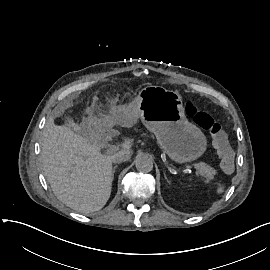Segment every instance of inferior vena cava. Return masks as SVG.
<instances>
[{"label":"inferior vena cava","instance_id":"inferior-vena-cava-1","mask_svg":"<svg viewBox=\"0 0 270 270\" xmlns=\"http://www.w3.org/2000/svg\"><path fill=\"white\" fill-rule=\"evenodd\" d=\"M130 156L128 154L123 153L122 151H118L111 156V160L113 163H122L126 162Z\"/></svg>","mask_w":270,"mask_h":270}]
</instances>
